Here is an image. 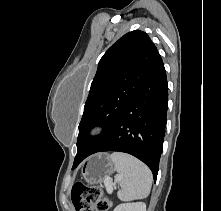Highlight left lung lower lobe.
Masks as SVG:
<instances>
[{
  "label": "left lung lower lobe",
  "mask_w": 221,
  "mask_h": 211,
  "mask_svg": "<svg viewBox=\"0 0 221 211\" xmlns=\"http://www.w3.org/2000/svg\"><path fill=\"white\" fill-rule=\"evenodd\" d=\"M167 107L168 84L159 55L138 93L109 132L86 157L102 151L131 154L151 169L156 181L167 122Z\"/></svg>",
  "instance_id": "1"
}]
</instances>
